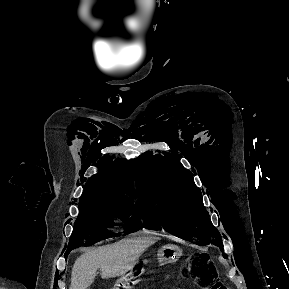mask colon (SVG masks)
<instances>
[{
	"label": "colon",
	"mask_w": 289,
	"mask_h": 289,
	"mask_svg": "<svg viewBox=\"0 0 289 289\" xmlns=\"http://www.w3.org/2000/svg\"><path fill=\"white\" fill-rule=\"evenodd\" d=\"M188 279L201 289H226L215 276L211 266L203 258H198L186 268Z\"/></svg>",
	"instance_id": "obj_1"
}]
</instances>
